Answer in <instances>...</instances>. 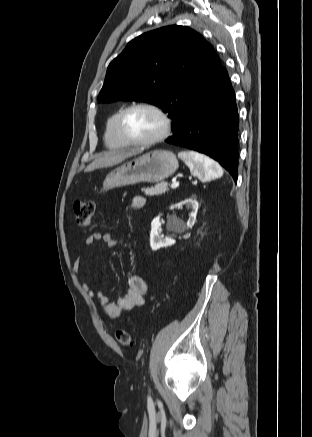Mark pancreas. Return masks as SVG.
<instances>
[{
    "label": "pancreas",
    "instance_id": "1",
    "mask_svg": "<svg viewBox=\"0 0 312 437\" xmlns=\"http://www.w3.org/2000/svg\"><path fill=\"white\" fill-rule=\"evenodd\" d=\"M142 191H144L147 196L161 195L168 191V184L161 182L154 187L143 188Z\"/></svg>",
    "mask_w": 312,
    "mask_h": 437
}]
</instances>
